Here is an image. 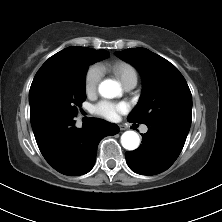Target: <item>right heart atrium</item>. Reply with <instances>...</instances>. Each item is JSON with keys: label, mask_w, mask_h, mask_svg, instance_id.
<instances>
[{"label": "right heart atrium", "mask_w": 222, "mask_h": 222, "mask_svg": "<svg viewBox=\"0 0 222 222\" xmlns=\"http://www.w3.org/2000/svg\"><path fill=\"white\" fill-rule=\"evenodd\" d=\"M101 78L102 70L98 65H92L87 69L84 76V88L88 95L96 92Z\"/></svg>", "instance_id": "d8ad5b80"}]
</instances>
